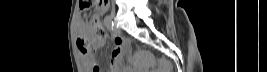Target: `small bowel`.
I'll list each match as a JSON object with an SVG mask.
<instances>
[{
  "label": "small bowel",
  "mask_w": 267,
  "mask_h": 72,
  "mask_svg": "<svg viewBox=\"0 0 267 72\" xmlns=\"http://www.w3.org/2000/svg\"><path fill=\"white\" fill-rule=\"evenodd\" d=\"M99 8L102 9V10H107L108 9V3L103 4L101 7L99 6ZM113 40H114L115 48L113 50L112 57L115 58L118 55V53L120 52V50H121L123 40L118 35H115L113 37ZM104 42H105V39L95 41L94 46L96 48L100 47L101 45L104 44ZM82 59H83L84 64L88 65L93 60V56L90 55V54H85V55L82 56ZM96 71L97 70H94V72H96Z\"/></svg>",
  "instance_id": "1"
}]
</instances>
